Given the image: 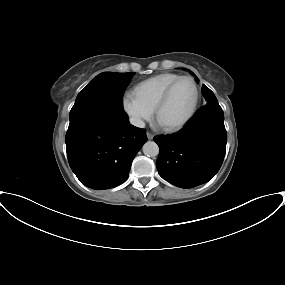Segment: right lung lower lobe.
<instances>
[{
  "mask_svg": "<svg viewBox=\"0 0 285 285\" xmlns=\"http://www.w3.org/2000/svg\"><path fill=\"white\" fill-rule=\"evenodd\" d=\"M65 141L77 178L85 186L101 190L128 178L132 161L147 137L144 129L129 124L125 112L94 107L70 119Z\"/></svg>",
  "mask_w": 285,
  "mask_h": 285,
  "instance_id": "right-lung-lower-lobe-1",
  "label": "right lung lower lobe"
}]
</instances>
